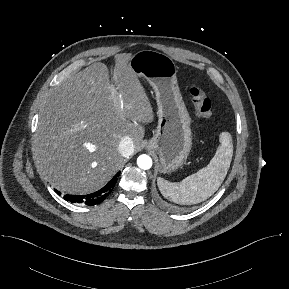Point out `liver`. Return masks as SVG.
<instances>
[{
	"label": "liver",
	"instance_id": "liver-1",
	"mask_svg": "<svg viewBox=\"0 0 289 289\" xmlns=\"http://www.w3.org/2000/svg\"><path fill=\"white\" fill-rule=\"evenodd\" d=\"M115 56L113 77L96 62L69 76L49 93L34 138L35 156L49 182L69 194L102 188L123 163L121 139L138 149L144 126L154 120L149 98L129 66Z\"/></svg>",
	"mask_w": 289,
	"mask_h": 289
}]
</instances>
